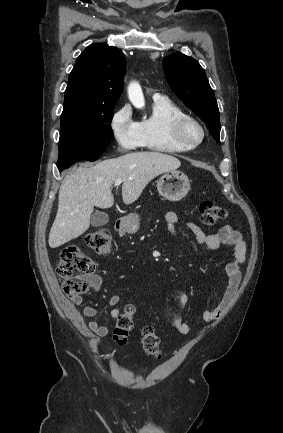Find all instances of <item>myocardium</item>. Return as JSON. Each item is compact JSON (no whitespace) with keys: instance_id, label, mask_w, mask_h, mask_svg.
<instances>
[{"instance_id":"myocardium-1","label":"myocardium","mask_w":283,"mask_h":433,"mask_svg":"<svg viewBox=\"0 0 283 433\" xmlns=\"http://www.w3.org/2000/svg\"><path fill=\"white\" fill-rule=\"evenodd\" d=\"M190 124L194 125L199 130L200 137L192 143H187L182 138V132L184 128ZM170 136H171V140L178 147L180 151H189L195 149L203 142L206 136V130L203 124L197 118H195L192 115L184 114V115L177 116L173 120Z\"/></svg>"}]
</instances>
